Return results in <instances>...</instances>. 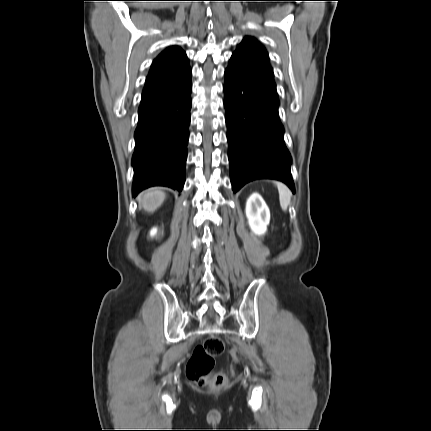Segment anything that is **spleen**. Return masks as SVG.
<instances>
[{
  "label": "spleen",
  "instance_id": "1",
  "mask_svg": "<svg viewBox=\"0 0 431 431\" xmlns=\"http://www.w3.org/2000/svg\"><path fill=\"white\" fill-rule=\"evenodd\" d=\"M276 186L279 192L280 206L282 210L286 211L291 202V191L282 183L276 182Z\"/></svg>",
  "mask_w": 431,
  "mask_h": 431
}]
</instances>
